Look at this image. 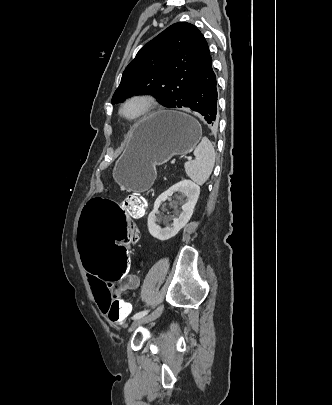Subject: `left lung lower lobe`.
<instances>
[{
    "label": "left lung lower lobe",
    "mask_w": 332,
    "mask_h": 405,
    "mask_svg": "<svg viewBox=\"0 0 332 405\" xmlns=\"http://www.w3.org/2000/svg\"><path fill=\"white\" fill-rule=\"evenodd\" d=\"M217 83L210 57L197 75L190 92L188 103L184 106L199 113L209 124L216 126L219 121L217 109Z\"/></svg>",
    "instance_id": "left-lung-lower-lobe-1"
}]
</instances>
